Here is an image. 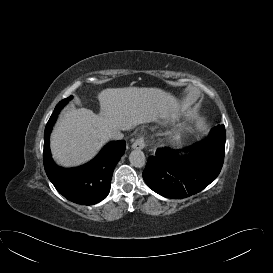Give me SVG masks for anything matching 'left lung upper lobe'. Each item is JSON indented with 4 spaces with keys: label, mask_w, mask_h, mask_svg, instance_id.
Wrapping results in <instances>:
<instances>
[{
    "label": "left lung upper lobe",
    "mask_w": 273,
    "mask_h": 273,
    "mask_svg": "<svg viewBox=\"0 0 273 273\" xmlns=\"http://www.w3.org/2000/svg\"><path fill=\"white\" fill-rule=\"evenodd\" d=\"M208 141H213L222 147H225L226 132L224 125H218L211 130L210 138Z\"/></svg>",
    "instance_id": "1"
}]
</instances>
